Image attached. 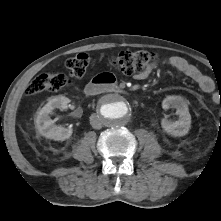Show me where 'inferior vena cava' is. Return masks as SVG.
I'll use <instances>...</instances> for the list:
<instances>
[{"label": "inferior vena cava", "instance_id": "obj_1", "mask_svg": "<svg viewBox=\"0 0 221 221\" xmlns=\"http://www.w3.org/2000/svg\"><path fill=\"white\" fill-rule=\"evenodd\" d=\"M90 124L94 129H101L102 128V119L97 114H92L90 116Z\"/></svg>", "mask_w": 221, "mask_h": 221}]
</instances>
